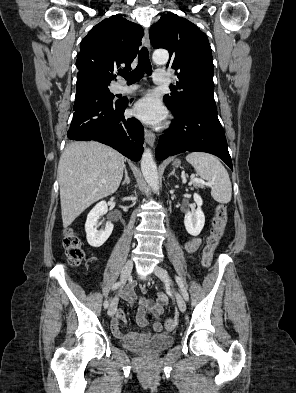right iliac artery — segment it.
<instances>
[{"label": "right iliac artery", "mask_w": 296, "mask_h": 393, "mask_svg": "<svg viewBox=\"0 0 296 393\" xmlns=\"http://www.w3.org/2000/svg\"><path fill=\"white\" fill-rule=\"evenodd\" d=\"M120 285H121L120 282H116V283L113 285L112 290L118 289V288L120 287ZM103 305H104V308H108V306H109L108 300H106V301L104 302Z\"/></svg>", "instance_id": "right-iliac-artery-1"}]
</instances>
